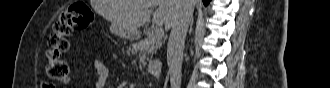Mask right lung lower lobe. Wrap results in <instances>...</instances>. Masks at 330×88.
Here are the masks:
<instances>
[{"instance_id": "obj_1", "label": "right lung lower lobe", "mask_w": 330, "mask_h": 88, "mask_svg": "<svg viewBox=\"0 0 330 88\" xmlns=\"http://www.w3.org/2000/svg\"><path fill=\"white\" fill-rule=\"evenodd\" d=\"M202 1L205 5H208V3L210 2V0H202Z\"/></svg>"}]
</instances>
